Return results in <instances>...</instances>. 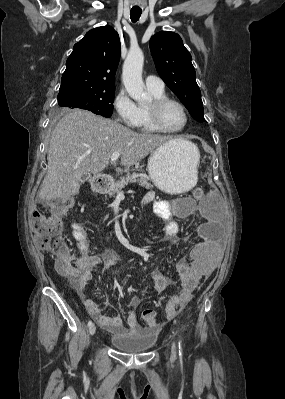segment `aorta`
<instances>
[{
    "instance_id": "762f6f07",
    "label": "aorta",
    "mask_w": 285,
    "mask_h": 399,
    "mask_svg": "<svg viewBox=\"0 0 285 399\" xmlns=\"http://www.w3.org/2000/svg\"><path fill=\"white\" fill-rule=\"evenodd\" d=\"M144 55L141 49H131L123 65L122 80L129 96L142 105L149 101L150 96L144 90L142 69Z\"/></svg>"
}]
</instances>
